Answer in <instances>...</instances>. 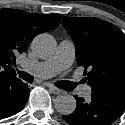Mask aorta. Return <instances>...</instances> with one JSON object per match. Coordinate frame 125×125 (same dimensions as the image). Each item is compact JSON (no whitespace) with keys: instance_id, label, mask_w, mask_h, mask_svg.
Here are the masks:
<instances>
[{"instance_id":"1","label":"aorta","mask_w":125,"mask_h":125,"mask_svg":"<svg viewBox=\"0 0 125 125\" xmlns=\"http://www.w3.org/2000/svg\"><path fill=\"white\" fill-rule=\"evenodd\" d=\"M55 41L49 34H40L32 42V50L40 58L51 56L55 51ZM55 109L62 115H69L76 108V100L72 95H58L54 100Z\"/></svg>"}]
</instances>
